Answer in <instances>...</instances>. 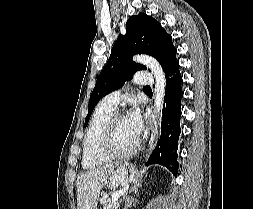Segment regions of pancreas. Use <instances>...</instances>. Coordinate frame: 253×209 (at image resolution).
Returning <instances> with one entry per match:
<instances>
[{"label":"pancreas","instance_id":"1","mask_svg":"<svg viewBox=\"0 0 253 209\" xmlns=\"http://www.w3.org/2000/svg\"><path fill=\"white\" fill-rule=\"evenodd\" d=\"M103 209H117L119 207V200L112 201V195L103 199Z\"/></svg>","mask_w":253,"mask_h":209}]
</instances>
